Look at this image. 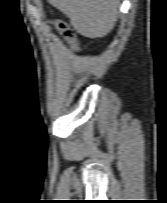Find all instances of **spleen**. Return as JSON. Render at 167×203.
<instances>
[{
  "instance_id": "obj_1",
  "label": "spleen",
  "mask_w": 167,
  "mask_h": 203,
  "mask_svg": "<svg viewBox=\"0 0 167 203\" xmlns=\"http://www.w3.org/2000/svg\"><path fill=\"white\" fill-rule=\"evenodd\" d=\"M74 29L89 38L104 37L114 28L119 0H49Z\"/></svg>"
}]
</instances>
